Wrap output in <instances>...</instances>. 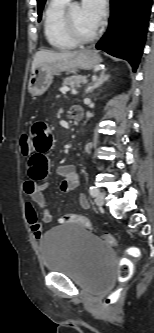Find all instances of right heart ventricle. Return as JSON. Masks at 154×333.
Returning <instances> with one entry per match:
<instances>
[{
  "mask_svg": "<svg viewBox=\"0 0 154 333\" xmlns=\"http://www.w3.org/2000/svg\"><path fill=\"white\" fill-rule=\"evenodd\" d=\"M69 1L49 0L43 14L44 35L49 45L57 50H69L77 46L63 25V15Z\"/></svg>",
  "mask_w": 154,
  "mask_h": 333,
  "instance_id": "e07e8e85",
  "label": "right heart ventricle"
}]
</instances>
